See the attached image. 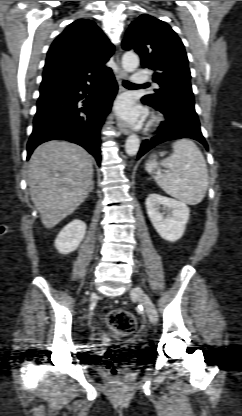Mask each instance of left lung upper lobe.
Returning <instances> with one entry per match:
<instances>
[{"mask_svg": "<svg viewBox=\"0 0 242 416\" xmlns=\"http://www.w3.org/2000/svg\"><path fill=\"white\" fill-rule=\"evenodd\" d=\"M122 47L140 55L142 67L153 70L152 79L160 86L154 90L155 94L144 96L143 102L163 106L177 101L194 105L184 45L167 23L141 15L131 23Z\"/></svg>", "mask_w": 242, "mask_h": 416, "instance_id": "1", "label": "left lung upper lobe"}]
</instances>
